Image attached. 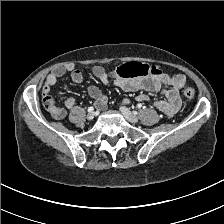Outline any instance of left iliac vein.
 Returning <instances> with one entry per match:
<instances>
[{
    "mask_svg": "<svg viewBox=\"0 0 224 224\" xmlns=\"http://www.w3.org/2000/svg\"><path fill=\"white\" fill-rule=\"evenodd\" d=\"M120 111L129 122H138V117L134 113H132L127 107L121 106Z\"/></svg>",
    "mask_w": 224,
    "mask_h": 224,
    "instance_id": "obj_1",
    "label": "left iliac vein"
}]
</instances>
